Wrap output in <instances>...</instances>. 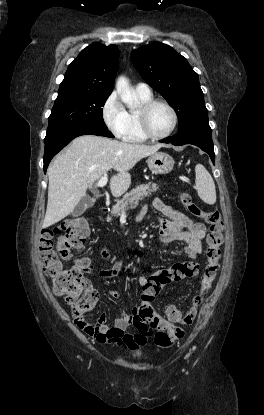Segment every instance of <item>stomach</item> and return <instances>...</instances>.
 Returning a JSON list of instances; mask_svg holds the SVG:
<instances>
[{"label": "stomach", "mask_w": 264, "mask_h": 415, "mask_svg": "<svg viewBox=\"0 0 264 415\" xmlns=\"http://www.w3.org/2000/svg\"><path fill=\"white\" fill-rule=\"evenodd\" d=\"M147 164L155 174H168L174 167V159L167 153L156 152L148 157Z\"/></svg>", "instance_id": "1"}]
</instances>
